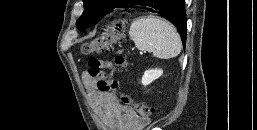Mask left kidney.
<instances>
[{
	"label": "left kidney",
	"mask_w": 257,
	"mask_h": 130,
	"mask_svg": "<svg viewBox=\"0 0 257 130\" xmlns=\"http://www.w3.org/2000/svg\"><path fill=\"white\" fill-rule=\"evenodd\" d=\"M162 74H163V71L161 69L146 70L144 72L141 82L144 86H147L150 83H152L154 80L158 79Z\"/></svg>",
	"instance_id": "left-kidney-1"
}]
</instances>
